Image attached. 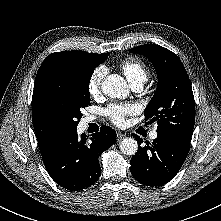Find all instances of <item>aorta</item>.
<instances>
[{"label": "aorta", "instance_id": "762f6f07", "mask_svg": "<svg viewBox=\"0 0 221 221\" xmlns=\"http://www.w3.org/2000/svg\"><path fill=\"white\" fill-rule=\"evenodd\" d=\"M102 91L112 98L124 99L129 95V88L120 75H108L102 82ZM120 150L125 155H135L138 150V143L134 138H124L120 142Z\"/></svg>", "mask_w": 221, "mask_h": 221}]
</instances>
